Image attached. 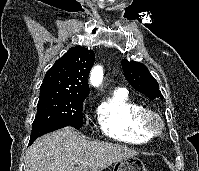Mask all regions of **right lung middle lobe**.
Segmentation results:
<instances>
[{
  "instance_id": "right-lung-middle-lobe-1",
  "label": "right lung middle lobe",
  "mask_w": 199,
  "mask_h": 171,
  "mask_svg": "<svg viewBox=\"0 0 199 171\" xmlns=\"http://www.w3.org/2000/svg\"><path fill=\"white\" fill-rule=\"evenodd\" d=\"M85 98L57 91L40 90L32 129L39 125L53 123L80 129L83 125L82 108Z\"/></svg>"
}]
</instances>
